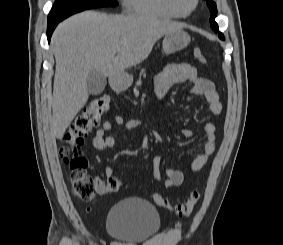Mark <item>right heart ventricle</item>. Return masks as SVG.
I'll return each instance as SVG.
<instances>
[{
    "mask_svg": "<svg viewBox=\"0 0 283 245\" xmlns=\"http://www.w3.org/2000/svg\"><path fill=\"white\" fill-rule=\"evenodd\" d=\"M124 6L130 13L163 19L181 18L174 0H124Z\"/></svg>",
    "mask_w": 283,
    "mask_h": 245,
    "instance_id": "1",
    "label": "right heart ventricle"
}]
</instances>
